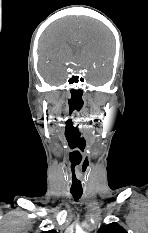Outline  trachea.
<instances>
[{
  "mask_svg": "<svg viewBox=\"0 0 148 233\" xmlns=\"http://www.w3.org/2000/svg\"><path fill=\"white\" fill-rule=\"evenodd\" d=\"M82 191H71V194L75 200H79L82 196Z\"/></svg>",
  "mask_w": 148,
  "mask_h": 233,
  "instance_id": "trachea-1",
  "label": "trachea"
}]
</instances>
